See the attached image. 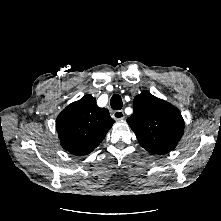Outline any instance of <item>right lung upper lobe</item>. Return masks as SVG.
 <instances>
[{"label":"right lung upper lobe","mask_w":221,"mask_h":221,"mask_svg":"<svg viewBox=\"0 0 221 221\" xmlns=\"http://www.w3.org/2000/svg\"><path fill=\"white\" fill-rule=\"evenodd\" d=\"M114 120L100 108L92 95L68 105L57 117L56 130L61 146L76 156L91 153L105 138Z\"/></svg>","instance_id":"cb5924a9"}]
</instances>
